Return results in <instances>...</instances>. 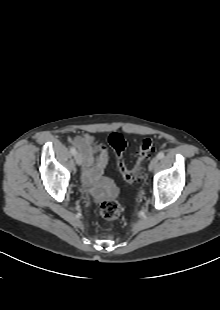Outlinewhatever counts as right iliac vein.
<instances>
[{
    "label": "right iliac vein",
    "instance_id": "obj_1",
    "mask_svg": "<svg viewBox=\"0 0 220 310\" xmlns=\"http://www.w3.org/2000/svg\"><path fill=\"white\" fill-rule=\"evenodd\" d=\"M76 164L81 166L83 164V156L81 153H76L75 155Z\"/></svg>",
    "mask_w": 220,
    "mask_h": 310
}]
</instances>
